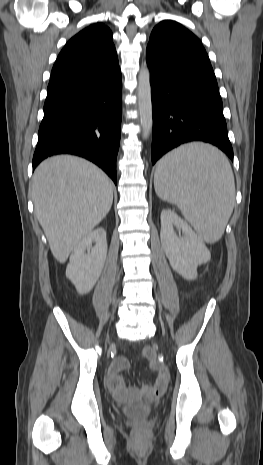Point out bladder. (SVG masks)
I'll return each instance as SVG.
<instances>
[{
  "label": "bladder",
  "mask_w": 263,
  "mask_h": 465,
  "mask_svg": "<svg viewBox=\"0 0 263 465\" xmlns=\"http://www.w3.org/2000/svg\"><path fill=\"white\" fill-rule=\"evenodd\" d=\"M122 413L128 417H144L151 413V407L145 404H128L123 407Z\"/></svg>",
  "instance_id": "1"
}]
</instances>
